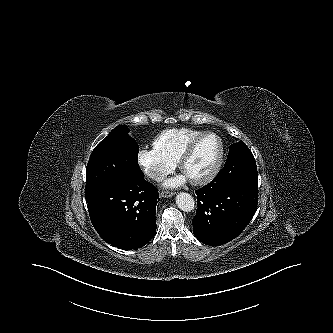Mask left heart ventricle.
Returning a JSON list of instances; mask_svg holds the SVG:
<instances>
[{
	"label": "left heart ventricle",
	"instance_id": "b2bd125f",
	"mask_svg": "<svg viewBox=\"0 0 333 333\" xmlns=\"http://www.w3.org/2000/svg\"><path fill=\"white\" fill-rule=\"evenodd\" d=\"M218 151L217 139L214 137L205 138L184 165V175L189 179H194L206 173L215 162Z\"/></svg>",
	"mask_w": 333,
	"mask_h": 333
}]
</instances>
